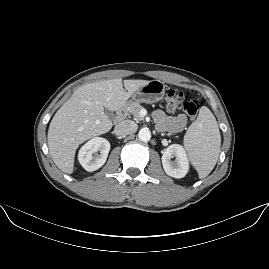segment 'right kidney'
I'll list each match as a JSON object with an SVG mask.
<instances>
[{"label": "right kidney", "mask_w": 269, "mask_h": 269, "mask_svg": "<svg viewBox=\"0 0 269 269\" xmlns=\"http://www.w3.org/2000/svg\"><path fill=\"white\" fill-rule=\"evenodd\" d=\"M100 150V154H94ZM110 150V143L103 137H93L78 150V161L86 171L100 168L106 161Z\"/></svg>", "instance_id": "1"}]
</instances>
